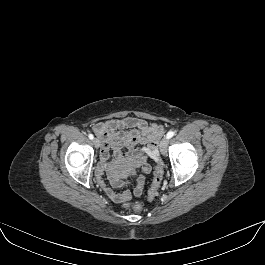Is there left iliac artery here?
<instances>
[{
  "label": "left iliac artery",
  "mask_w": 265,
  "mask_h": 265,
  "mask_svg": "<svg viewBox=\"0 0 265 265\" xmlns=\"http://www.w3.org/2000/svg\"><path fill=\"white\" fill-rule=\"evenodd\" d=\"M174 132L173 131H169L168 133H167V135H166V137L168 138V139H170V138H172L173 136H174Z\"/></svg>",
  "instance_id": "1"
}]
</instances>
